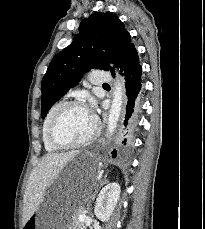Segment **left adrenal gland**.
Returning a JSON list of instances; mask_svg holds the SVG:
<instances>
[{
  "label": "left adrenal gland",
  "instance_id": "1",
  "mask_svg": "<svg viewBox=\"0 0 205 229\" xmlns=\"http://www.w3.org/2000/svg\"><path fill=\"white\" fill-rule=\"evenodd\" d=\"M106 183H108V180H107V179L101 180L100 184L97 185V188H98L99 186H100V187L103 186V185L106 184ZM97 192H98V190L95 189L94 194L91 196V200H90L89 203L87 204L88 210H90V208H89L90 203H91L92 200H94L95 195H96Z\"/></svg>",
  "mask_w": 205,
  "mask_h": 229
}]
</instances>
